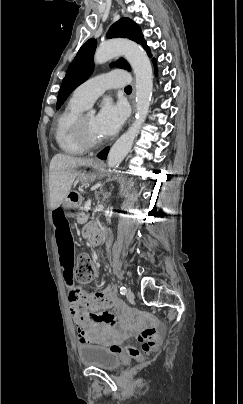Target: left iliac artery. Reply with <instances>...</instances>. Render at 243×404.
<instances>
[{
	"mask_svg": "<svg viewBox=\"0 0 243 404\" xmlns=\"http://www.w3.org/2000/svg\"><path fill=\"white\" fill-rule=\"evenodd\" d=\"M126 292H127L126 287H124V286L120 287V293H121L122 295H125Z\"/></svg>",
	"mask_w": 243,
	"mask_h": 404,
	"instance_id": "44dca946",
	"label": "left iliac artery"
}]
</instances>
